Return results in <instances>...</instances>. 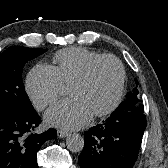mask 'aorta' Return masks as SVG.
I'll use <instances>...</instances> for the list:
<instances>
[{"label": "aorta", "mask_w": 168, "mask_h": 168, "mask_svg": "<svg viewBox=\"0 0 168 168\" xmlns=\"http://www.w3.org/2000/svg\"><path fill=\"white\" fill-rule=\"evenodd\" d=\"M66 146L71 152H80L84 147V139L80 134H70L66 139Z\"/></svg>", "instance_id": "762f6f07"}]
</instances>
